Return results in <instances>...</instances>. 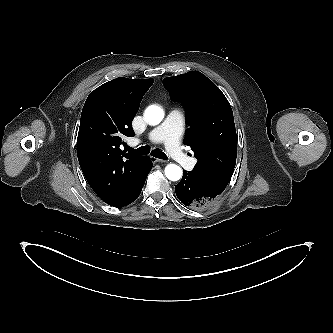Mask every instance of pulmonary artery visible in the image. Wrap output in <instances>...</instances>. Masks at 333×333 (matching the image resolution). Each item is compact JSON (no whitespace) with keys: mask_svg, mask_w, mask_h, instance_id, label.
I'll return each mask as SVG.
<instances>
[{"mask_svg":"<svg viewBox=\"0 0 333 333\" xmlns=\"http://www.w3.org/2000/svg\"><path fill=\"white\" fill-rule=\"evenodd\" d=\"M185 117L179 109L171 110L163 123L149 133L154 143H163L169 155L187 170L193 169L195 160L188 157L180 146L184 132Z\"/></svg>","mask_w":333,"mask_h":333,"instance_id":"pulmonary-artery-1","label":"pulmonary artery"}]
</instances>
